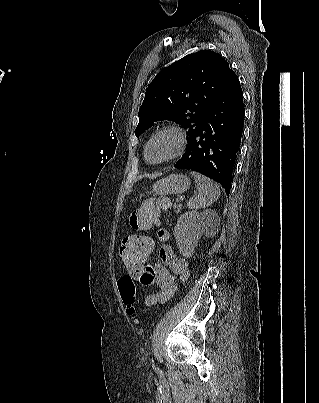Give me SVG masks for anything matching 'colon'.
<instances>
[{"mask_svg":"<svg viewBox=\"0 0 319 403\" xmlns=\"http://www.w3.org/2000/svg\"><path fill=\"white\" fill-rule=\"evenodd\" d=\"M168 206L169 201L165 198L146 199L130 216L131 227L145 230L135 231V238H125L119 247L122 269L126 270L129 276H119L117 288L123 295L121 305L125 308V315L130 317L133 325L142 323L143 316L137 307L136 284H139L142 272L147 271V267L152 263L153 239L150 229L161 210ZM139 293H142V290H139Z\"/></svg>","mask_w":319,"mask_h":403,"instance_id":"colon-1","label":"colon"}]
</instances>
